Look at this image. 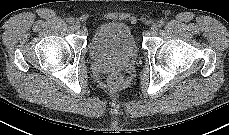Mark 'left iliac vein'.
<instances>
[{
	"instance_id": "left-iliac-vein-1",
	"label": "left iliac vein",
	"mask_w": 229,
	"mask_h": 135,
	"mask_svg": "<svg viewBox=\"0 0 229 135\" xmlns=\"http://www.w3.org/2000/svg\"><path fill=\"white\" fill-rule=\"evenodd\" d=\"M158 29H159V24H158V23H153V24L151 25V31H152V32H157Z\"/></svg>"
}]
</instances>
